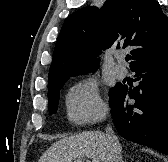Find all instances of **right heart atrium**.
<instances>
[{
    "label": "right heart atrium",
    "instance_id": "obj_1",
    "mask_svg": "<svg viewBox=\"0 0 168 162\" xmlns=\"http://www.w3.org/2000/svg\"><path fill=\"white\" fill-rule=\"evenodd\" d=\"M66 110L71 122L87 124L100 121L108 109L99 95L97 84L88 79L75 84L69 90Z\"/></svg>",
    "mask_w": 168,
    "mask_h": 162
}]
</instances>
